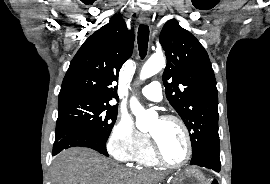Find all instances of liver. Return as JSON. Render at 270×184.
<instances>
[{"label":"liver","instance_id":"1","mask_svg":"<svg viewBox=\"0 0 270 184\" xmlns=\"http://www.w3.org/2000/svg\"><path fill=\"white\" fill-rule=\"evenodd\" d=\"M53 184H150L158 177L128 170L97 152L74 147L53 161Z\"/></svg>","mask_w":270,"mask_h":184}]
</instances>
